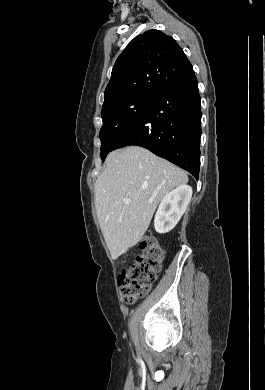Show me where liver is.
<instances>
[{
	"mask_svg": "<svg viewBox=\"0 0 265 390\" xmlns=\"http://www.w3.org/2000/svg\"><path fill=\"white\" fill-rule=\"evenodd\" d=\"M188 182L185 171L140 146L111 152L95 183V206L113 259L135 246L147 231L161 199ZM128 198V205L123 199Z\"/></svg>",
	"mask_w": 265,
	"mask_h": 390,
	"instance_id": "liver-1",
	"label": "liver"
}]
</instances>
